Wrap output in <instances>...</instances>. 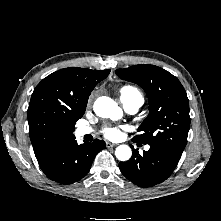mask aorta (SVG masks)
<instances>
[{
    "label": "aorta",
    "instance_id": "obj_1",
    "mask_svg": "<svg viewBox=\"0 0 221 221\" xmlns=\"http://www.w3.org/2000/svg\"><path fill=\"white\" fill-rule=\"evenodd\" d=\"M93 109L96 115L102 118L117 120L122 117V109L113 99L106 96L96 99ZM115 155L118 160L127 161L131 158L132 150L128 145H119Z\"/></svg>",
    "mask_w": 221,
    "mask_h": 221
}]
</instances>
